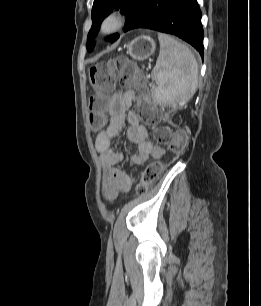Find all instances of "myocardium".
<instances>
[{"label":"myocardium","instance_id":"myocardium-1","mask_svg":"<svg viewBox=\"0 0 261 306\" xmlns=\"http://www.w3.org/2000/svg\"><path fill=\"white\" fill-rule=\"evenodd\" d=\"M125 24V15L120 11H113L102 20L99 33L103 36L115 34L123 29Z\"/></svg>","mask_w":261,"mask_h":306}]
</instances>
